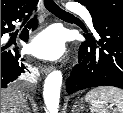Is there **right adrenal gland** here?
Wrapping results in <instances>:
<instances>
[{"label": "right adrenal gland", "mask_w": 123, "mask_h": 113, "mask_svg": "<svg viewBox=\"0 0 123 113\" xmlns=\"http://www.w3.org/2000/svg\"><path fill=\"white\" fill-rule=\"evenodd\" d=\"M23 113H30V112H29L28 104H26V106H25V109H24Z\"/></svg>", "instance_id": "obj_1"}]
</instances>
